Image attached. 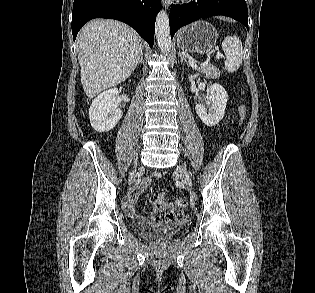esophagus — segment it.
I'll return each mask as SVG.
<instances>
[{
    "label": "esophagus",
    "mask_w": 315,
    "mask_h": 293,
    "mask_svg": "<svg viewBox=\"0 0 315 293\" xmlns=\"http://www.w3.org/2000/svg\"><path fill=\"white\" fill-rule=\"evenodd\" d=\"M161 2L166 9H168L171 4V0H161Z\"/></svg>",
    "instance_id": "34e87169"
}]
</instances>
